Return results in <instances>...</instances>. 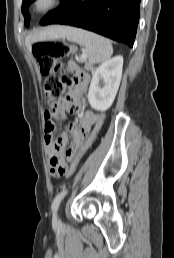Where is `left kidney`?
Here are the masks:
<instances>
[{
	"mask_svg": "<svg viewBox=\"0 0 174 258\" xmlns=\"http://www.w3.org/2000/svg\"><path fill=\"white\" fill-rule=\"evenodd\" d=\"M123 68V57L116 56L103 62L92 75L88 101L97 111L109 109L116 97Z\"/></svg>",
	"mask_w": 174,
	"mask_h": 258,
	"instance_id": "5707ae66",
	"label": "left kidney"
}]
</instances>
